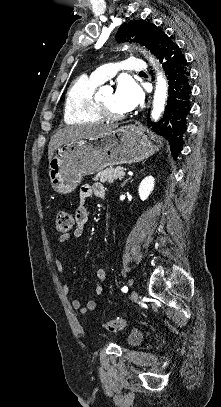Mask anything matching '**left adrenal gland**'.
<instances>
[{"label":"left adrenal gland","instance_id":"a2214340","mask_svg":"<svg viewBox=\"0 0 221 407\" xmlns=\"http://www.w3.org/2000/svg\"><path fill=\"white\" fill-rule=\"evenodd\" d=\"M132 178L130 177V178H128V179H126L122 184H121V187H124L125 186V184L129 181V180H131Z\"/></svg>","mask_w":221,"mask_h":407}]
</instances>
